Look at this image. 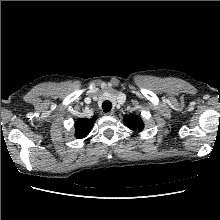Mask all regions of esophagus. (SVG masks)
Masks as SVG:
<instances>
[{"label": "esophagus", "instance_id": "34e87169", "mask_svg": "<svg viewBox=\"0 0 220 220\" xmlns=\"http://www.w3.org/2000/svg\"><path fill=\"white\" fill-rule=\"evenodd\" d=\"M105 115H107V116H113V115H114V111H113V110H112V111H109V112L105 113Z\"/></svg>", "mask_w": 220, "mask_h": 220}]
</instances>
